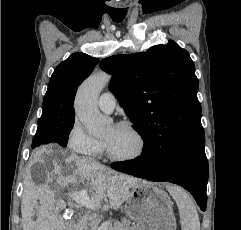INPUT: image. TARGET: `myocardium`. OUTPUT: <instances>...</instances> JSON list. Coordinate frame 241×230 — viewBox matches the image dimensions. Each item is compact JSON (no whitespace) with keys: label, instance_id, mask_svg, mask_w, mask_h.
Segmentation results:
<instances>
[{"label":"myocardium","instance_id":"myocardium-1","mask_svg":"<svg viewBox=\"0 0 241 230\" xmlns=\"http://www.w3.org/2000/svg\"><path fill=\"white\" fill-rule=\"evenodd\" d=\"M115 126H122V127H126L127 129H129L137 138L138 149L134 154H132L130 156L120 157V156L114 155L112 153L109 145L104 141V149H105L107 157L110 160H112L114 162H119V163H128V162H132V161L139 159L146 150V141H145L143 134L140 132V130L135 125H133L129 121L119 122V123L115 124Z\"/></svg>","mask_w":241,"mask_h":230}]
</instances>
